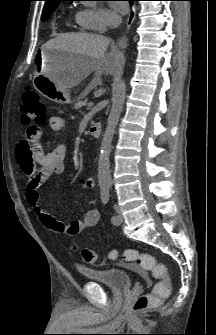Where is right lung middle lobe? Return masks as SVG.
Segmentation results:
<instances>
[{"instance_id":"right-lung-middle-lobe-1","label":"right lung middle lobe","mask_w":216,"mask_h":335,"mask_svg":"<svg viewBox=\"0 0 216 335\" xmlns=\"http://www.w3.org/2000/svg\"><path fill=\"white\" fill-rule=\"evenodd\" d=\"M57 6L58 4L44 6L41 20L47 19Z\"/></svg>"}]
</instances>
